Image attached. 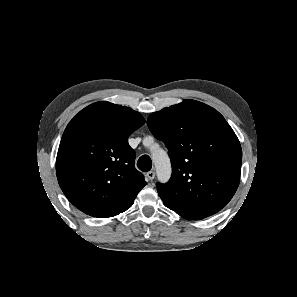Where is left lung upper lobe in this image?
<instances>
[{"label":"left lung upper lobe","instance_id":"obj_1","mask_svg":"<svg viewBox=\"0 0 297 297\" xmlns=\"http://www.w3.org/2000/svg\"><path fill=\"white\" fill-rule=\"evenodd\" d=\"M147 124L168 148L172 177L157 184L166 207L200 220L224 208L240 181V142L224 117L195 100L152 113Z\"/></svg>","mask_w":297,"mask_h":297}]
</instances>
